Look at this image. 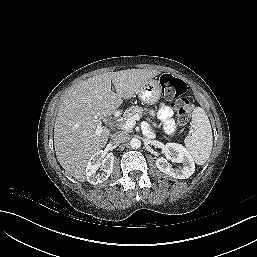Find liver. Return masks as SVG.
Here are the masks:
<instances>
[{"label": "liver", "mask_w": 257, "mask_h": 257, "mask_svg": "<svg viewBox=\"0 0 257 257\" xmlns=\"http://www.w3.org/2000/svg\"><path fill=\"white\" fill-rule=\"evenodd\" d=\"M159 74L157 70L145 69L106 72L68 91L54 125V148L65 171L78 181L86 180L89 159L106 145L110 135L97 118L113 114L123 99L133 97L146 81Z\"/></svg>", "instance_id": "liver-1"}]
</instances>
